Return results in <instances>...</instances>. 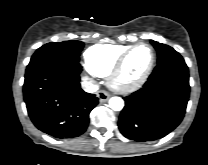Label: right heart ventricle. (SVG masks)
Returning <instances> with one entry per match:
<instances>
[{
	"instance_id": "obj_1",
	"label": "right heart ventricle",
	"mask_w": 208,
	"mask_h": 165,
	"mask_svg": "<svg viewBox=\"0 0 208 165\" xmlns=\"http://www.w3.org/2000/svg\"><path fill=\"white\" fill-rule=\"evenodd\" d=\"M130 45L100 43L89 47L84 53L86 66L96 75H109L121 54Z\"/></svg>"
}]
</instances>
